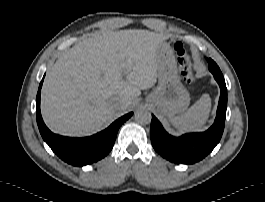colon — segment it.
Wrapping results in <instances>:
<instances>
[{
    "instance_id": "1",
    "label": "colon",
    "mask_w": 265,
    "mask_h": 202,
    "mask_svg": "<svg viewBox=\"0 0 265 202\" xmlns=\"http://www.w3.org/2000/svg\"><path fill=\"white\" fill-rule=\"evenodd\" d=\"M175 49L178 53L179 68L186 78H190L191 56L181 43H177Z\"/></svg>"
}]
</instances>
